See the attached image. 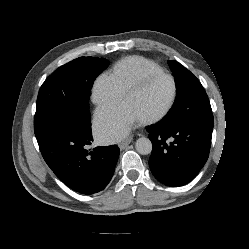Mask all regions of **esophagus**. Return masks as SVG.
<instances>
[{
  "label": "esophagus",
  "instance_id": "obj_1",
  "mask_svg": "<svg viewBox=\"0 0 249 249\" xmlns=\"http://www.w3.org/2000/svg\"><path fill=\"white\" fill-rule=\"evenodd\" d=\"M132 139H133L132 137H129V138H127L126 140L120 142V143L118 144L119 148H120L121 150L125 149V148L132 142Z\"/></svg>",
  "mask_w": 249,
  "mask_h": 249
}]
</instances>
